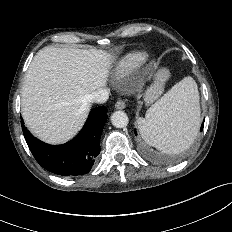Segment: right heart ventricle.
<instances>
[{
	"mask_svg": "<svg viewBox=\"0 0 232 232\" xmlns=\"http://www.w3.org/2000/svg\"><path fill=\"white\" fill-rule=\"evenodd\" d=\"M148 58L144 51H133L123 56L116 65L115 73L123 77L143 65Z\"/></svg>",
	"mask_w": 232,
	"mask_h": 232,
	"instance_id": "obj_1",
	"label": "right heart ventricle"
}]
</instances>
